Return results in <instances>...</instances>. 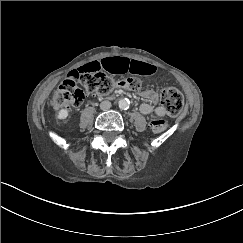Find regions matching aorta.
<instances>
[{"mask_svg":"<svg viewBox=\"0 0 243 243\" xmlns=\"http://www.w3.org/2000/svg\"><path fill=\"white\" fill-rule=\"evenodd\" d=\"M129 106V100L126 98L120 99L119 101V107L122 109H127Z\"/></svg>","mask_w":243,"mask_h":243,"instance_id":"aorta-1","label":"aorta"}]
</instances>
